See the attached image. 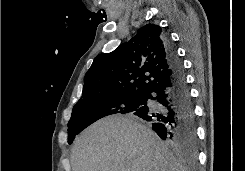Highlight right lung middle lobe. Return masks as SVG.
Wrapping results in <instances>:
<instances>
[{
  "mask_svg": "<svg viewBox=\"0 0 245 171\" xmlns=\"http://www.w3.org/2000/svg\"><path fill=\"white\" fill-rule=\"evenodd\" d=\"M143 103L142 95H117L98 100L78 101L68 122V143L100 118L111 114L132 113Z\"/></svg>",
  "mask_w": 245,
  "mask_h": 171,
  "instance_id": "dd1d6c3e",
  "label": "right lung middle lobe"
}]
</instances>
